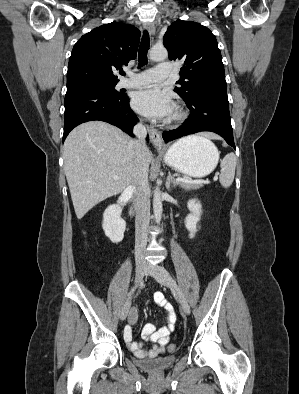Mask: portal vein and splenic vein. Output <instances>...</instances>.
I'll list each match as a JSON object with an SVG mask.
<instances>
[{
    "label": "portal vein and splenic vein",
    "mask_w": 299,
    "mask_h": 394,
    "mask_svg": "<svg viewBox=\"0 0 299 394\" xmlns=\"http://www.w3.org/2000/svg\"><path fill=\"white\" fill-rule=\"evenodd\" d=\"M115 179H117V176H114ZM218 176L216 175L214 177V180H217ZM175 181L177 182H182L186 184H203L206 183V180L204 179H184V178H176Z\"/></svg>",
    "instance_id": "obj_1"
}]
</instances>
